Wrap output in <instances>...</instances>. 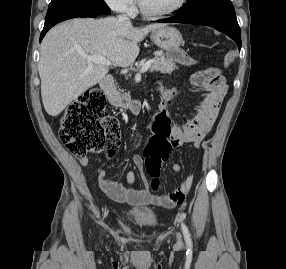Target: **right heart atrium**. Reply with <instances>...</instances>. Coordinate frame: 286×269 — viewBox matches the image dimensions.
<instances>
[{"label": "right heart atrium", "instance_id": "1", "mask_svg": "<svg viewBox=\"0 0 286 269\" xmlns=\"http://www.w3.org/2000/svg\"><path fill=\"white\" fill-rule=\"evenodd\" d=\"M106 5L121 15H132L135 12V0H104Z\"/></svg>", "mask_w": 286, "mask_h": 269}]
</instances>
